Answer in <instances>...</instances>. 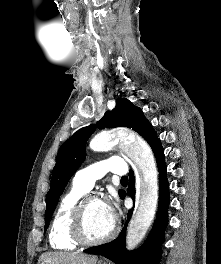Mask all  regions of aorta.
Masks as SVG:
<instances>
[{
  "mask_svg": "<svg viewBox=\"0 0 221 264\" xmlns=\"http://www.w3.org/2000/svg\"><path fill=\"white\" fill-rule=\"evenodd\" d=\"M119 144L139 170L136 186L137 207L126 234V247L135 249L145 237L156 213L158 202V172L149 145L134 135L100 133L90 142L93 150L105 151Z\"/></svg>",
  "mask_w": 221,
  "mask_h": 264,
  "instance_id": "762f6f07",
  "label": "aorta"
}]
</instances>
